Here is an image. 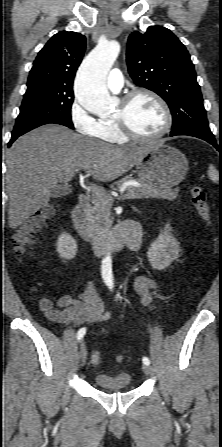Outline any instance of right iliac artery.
<instances>
[{"instance_id": "1", "label": "right iliac artery", "mask_w": 222, "mask_h": 447, "mask_svg": "<svg viewBox=\"0 0 222 447\" xmlns=\"http://www.w3.org/2000/svg\"><path fill=\"white\" fill-rule=\"evenodd\" d=\"M85 333H86V328H81V329L77 332V339H78V340H81V339L84 337Z\"/></svg>"}]
</instances>
